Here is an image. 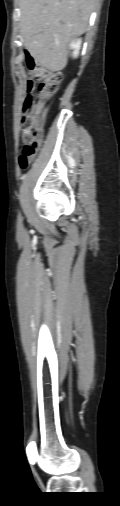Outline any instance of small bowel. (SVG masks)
Instances as JSON below:
<instances>
[{"label": "small bowel", "mask_w": 120, "mask_h": 506, "mask_svg": "<svg viewBox=\"0 0 120 506\" xmlns=\"http://www.w3.org/2000/svg\"><path fill=\"white\" fill-rule=\"evenodd\" d=\"M32 89H33V82H30V83H28V90L30 91Z\"/></svg>", "instance_id": "obj_1"}]
</instances>
